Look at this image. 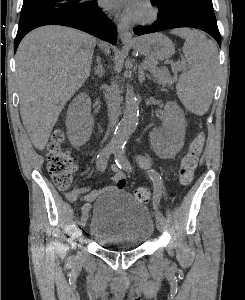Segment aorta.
I'll use <instances>...</instances> for the list:
<instances>
[{"instance_id":"aorta-1","label":"aorta","mask_w":245,"mask_h":300,"mask_svg":"<svg viewBox=\"0 0 245 300\" xmlns=\"http://www.w3.org/2000/svg\"><path fill=\"white\" fill-rule=\"evenodd\" d=\"M139 102L136 94L131 88H127L125 95V110L123 118L118 124L111 146L115 150H121L131 133L135 131L138 124Z\"/></svg>"}]
</instances>
